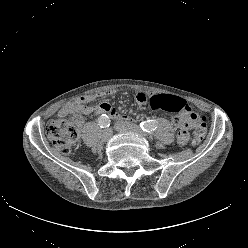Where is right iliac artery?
Here are the masks:
<instances>
[{
	"mask_svg": "<svg viewBox=\"0 0 248 248\" xmlns=\"http://www.w3.org/2000/svg\"><path fill=\"white\" fill-rule=\"evenodd\" d=\"M98 125L101 128H107L110 126V119L106 114H102L98 119Z\"/></svg>",
	"mask_w": 248,
	"mask_h": 248,
	"instance_id": "right-iliac-artery-1",
	"label": "right iliac artery"
}]
</instances>
